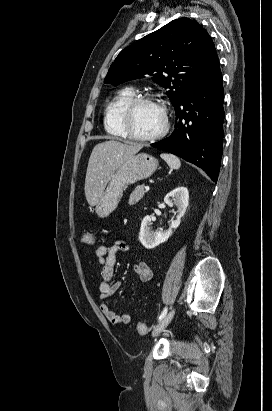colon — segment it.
<instances>
[{
  "label": "colon",
  "instance_id": "1",
  "mask_svg": "<svg viewBox=\"0 0 272 411\" xmlns=\"http://www.w3.org/2000/svg\"><path fill=\"white\" fill-rule=\"evenodd\" d=\"M82 242L86 245H92L95 242V235L91 232L85 233L82 237ZM137 332L144 336L150 332V328L146 324L139 322L137 324Z\"/></svg>",
  "mask_w": 272,
  "mask_h": 411
}]
</instances>
